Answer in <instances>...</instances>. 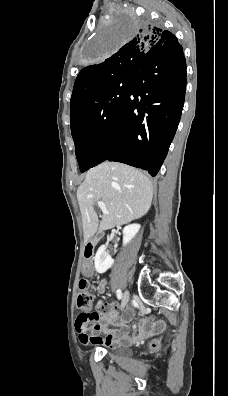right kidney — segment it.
<instances>
[{
    "label": "right kidney",
    "instance_id": "obj_1",
    "mask_svg": "<svg viewBox=\"0 0 228 396\" xmlns=\"http://www.w3.org/2000/svg\"><path fill=\"white\" fill-rule=\"evenodd\" d=\"M140 224H131L123 229V245L126 246L138 233ZM114 260L107 252L105 245H101L94 258L95 269L98 273H105L113 265Z\"/></svg>",
    "mask_w": 228,
    "mask_h": 396
}]
</instances>
